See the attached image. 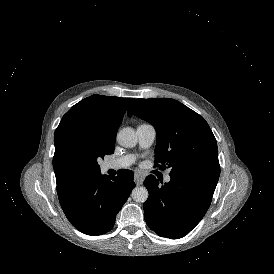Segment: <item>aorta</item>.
Returning a JSON list of instances; mask_svg holds the SVG:
<instances>
[{
	"mask_svg": "<svg viewBox=\"0 0 274 274\" xmlns=\"http://www.w3.org/2000/svg\"><path fill=\"white\" fill-rule=\"evenodd\" d=\"M118 143L126 148L136 145L137 136L135 130L131 127L121 129L117 134ZM132 198L135 202H145L148 199L149 193L146 187H135L132 190Z\"/></svg>",
	"mask_w": 274,
	"mask_h": 274,
	"instance_id": "762f6f07",
	"label": "aorta"
}]
</instances>
